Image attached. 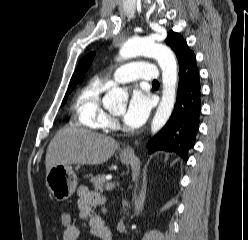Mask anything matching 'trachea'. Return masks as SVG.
I'll return each mask as SVG.
<instances>
[{
	"label": "trachea",
	"instance_id": "obj_1",
	"mask_svg": "<svg viewBox=\"0 0 248 240\" xmlns=\"http://www.w3.org/2000/svg\"><path fill=\"white\" fill-rule=\"evenodd\" d=\"M152 83H153V84H159V82H158V81H153Z\"/></svg>",
	"mask_w": 248,
	"mask_h": 240
}]
</instances>
